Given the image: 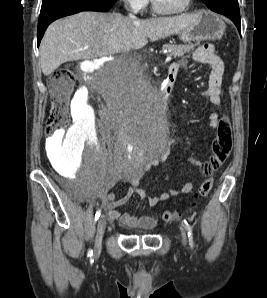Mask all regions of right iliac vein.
I'll use <instances>...</instances> for the list:
<instances>
[{"instance_id": "1", "label": "right iliac vein", "mask_w": 267, "mask_h": 298, "mask_svg": "<svg viewBox=\"0 0 267 298\" xmlns=\"http://www.w3.org/2000/svg\"><path fill=\"white\" fill-rule=\"evenodd\" d=\"M106 228V219L104 216H101L97 223V233L94 243V256H98L101 252V246H102V237L104 235Z\"/></svg>"}]
</instances>
